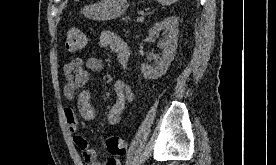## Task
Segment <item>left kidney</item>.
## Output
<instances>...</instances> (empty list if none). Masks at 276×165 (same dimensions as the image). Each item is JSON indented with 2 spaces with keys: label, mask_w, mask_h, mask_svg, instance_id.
Listing matches in <instances>:
<instances>
[{
  "label": "left kidney",
  "mask_w": 276,
  "mask_h": 165,
  "mask_svg": "<svg viewBox=\"0 0 276 165\" xmlns=\"http://www.w3.org/2000/svg\"><path fill=\"white\" fill-rule=\"evenodd\" d=\"M161 31L166 33V37L159 44V47L163 49L159 63L153 66L145 63L141 65V72L146 79H157L163 76L173 61L176 53L179 32L177 17L170 16L161 22L155 23L149 30V37L154 38Z\"/></svg>",
  "instance_id": "1"
}]
</instances>
